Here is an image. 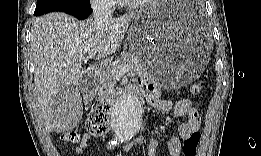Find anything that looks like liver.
<instances>
[{
	"label": "liver",
	"instance_id": "obj_1",
	"mask_svg": "<svg viewBox=\"0 0 261 156\" xmlns=\"http://www.w3.org/2000/svg\"><path fill=\"white\" fill-rule=\"evenodd\" d=\"M141 12H132L111 19L101 25L93 20L78 21L65 13H49L37 17L31 28V58L34 65L36 97L48 131L58 130L54 121L56 106L66 93L75 103L78 121L82 117L80 96L70 90L85 71L79 62L81 56L105 59L121 45L132 19ZM71 128H63L61 131ZM59 131V130H58Z\"/></svg>",
	"mask_w": 261,
	"mask_h": 156
}]
</instances>
